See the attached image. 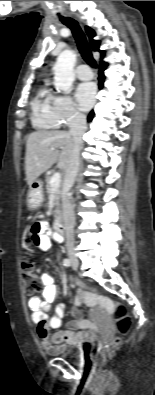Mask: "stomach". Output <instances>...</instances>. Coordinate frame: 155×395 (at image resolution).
I'll list each match as a JSON object with an SVG mask.
<instances>
[{
    "label": "stomach",
    "instance_id": "obj_1",
    "mask_svg": "<svg viewBox=\"0 0 155 395\" xmlns=\"http://www.w3.org/2000/svg\"><path fill=\"white\" fill-rule=\"evenodd\" d=\"M43 202L42 182L35 180L29 186L28 205L31 209H37Z\"/></svg>",
    "mask_w": 155,
    "mask_h": 395
}]
</instances>
